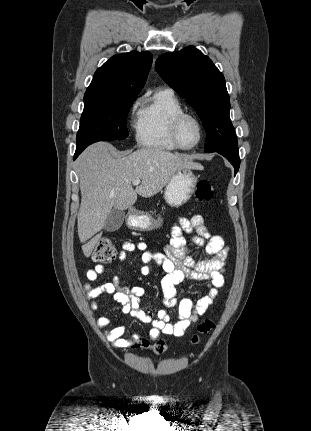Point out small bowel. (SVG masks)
Masks as SVG:
<instances>
[{
	"mask_svg": "<svg viewBox=\"0 0 311 431\" xmlns=\"http://www.w3.org/2000/svg\"><path fill=\"white\" fill-rule=\"evenodd\" d=\"M184 233L193 234L194 244L202 247L206 253L204 258L194 259L188 255L187 242ZM134 251H143L141 273L148 275L151 265L160 267L166 274L161 281L164 294V303L178 312V320L172 322L169 314L164 310L156 313L141 309V301L145 294L142 287L128 289L118 282V276L114 281L93 286L89 283L84 285V290L90 306L94 312L98 310V300L103 295H112L114 300L122 306L124 314L150 324V339H156L161 333L181 337L198 320L205 311L213 304L218 291L224 286L223 267L227 261L229 248L220 235H212L207 229L201 215L195 214L191 218H180L172 227L170 243L163 252L147 250L146 244L142 242L127 241L122 246L118 255L120 261L127 258V254ZM106 272L103 265H97L86 272L89 281H96L99 275ZM201 280L207 283L208 294L194 302L191 299L176 298L177 290L184 279ZM97 325L106 328L111 325L108 317L102 316L97 320ZM124 326H117L105 332L106 338L115 347H128L132 339L123 338Z\"/></svg>",
	"mask_w": 311,
	"mask_h": 431,
	"instance_id": "small-bowel-1",
	"label": "small bowel"
}]
</instances>
